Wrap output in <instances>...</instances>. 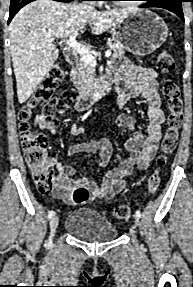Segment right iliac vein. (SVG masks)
<instances>
[{
    "mask_svg": "<svg viewBox=\"0 0 193 287\" xmlns=\"http://www.w3.org/2000/svg\"><path fill=\"white\" fill-rule=\"evenodd\" d=\"M58 224H59V217H58V215H54L50 221V237H49V240L47 242L48 244H50L52 242V238L54 237V235L56 233Z\"/></svg>",
    "mask_w": 193,
    "mask_h": 287,
    "instance_id": "1",
    "label": "right iliac vein"
}]
</instances>
